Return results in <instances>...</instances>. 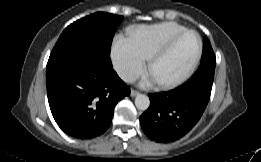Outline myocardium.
Returning a JSON list of instances; mask_svg holds the SVG:
<instances>
[{
    "label": "myocardium",
    "mask_w": 261,
    "mask_h": 162,
    "mask_svg": "<svg viewBox=\"0 0 261 162\" xmlns=\"http://www.w3.org/2000/svg\"><path fill=\"white\" fill-rule=\"evenodd\" d=\"M194 34L196 35L197 39H198V48L196 51V54L192 60V62L190 63V65L187 67V69L180 74L179 76L171 79V80H167V81H156L157 84L162 87V88H173L176 87L178 85H180L181 83H183L184 81H186L196 70L197 65L200 61L201 55H202V51H203V41L202 38L200 36V34L192 29H185L181 32H178L176 34H174L173 36H171L167 41H165L157 50H155L147 59V71L149 72L152 65L162 56H164L170 49L171 47L175 44V42L181 38L182 36L186 35V34Z\"/></svg>",
    "instance_id": "1"
}]
</instances>
